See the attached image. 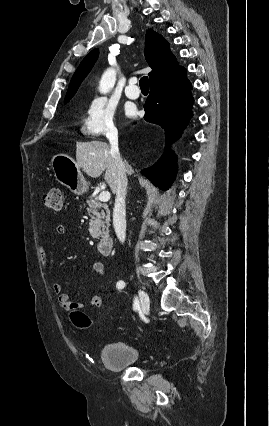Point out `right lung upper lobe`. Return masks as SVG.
I'll return each mask as SVG.
<instances>
[{
    "label": "right lung upper lobe",
    "mask_w": 269,
    "mask_h": 426,
    "mask_svg": "<svg viewBox=\"0 0 269 426\" xmlns=\"http://www.w3.org/2000/svg\"><path fill=\"white\" fill-rule=\"evenodd\" d=\"M98 54V49H94L82 60L71 79L66 98H72L76 93L81 82L96 62ZM145 58L152 68V71L149 73L150 84L179 67L176 58L169 49L168 42L152 29H148L146 32Z\"/></svg>",
    "instance_id": "1"
}]
</instances>
